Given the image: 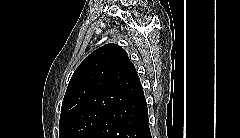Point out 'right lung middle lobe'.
<instances>
[{
	"instance_id": "obj_1",
	"label": "right lung middle lobe",
	"mask_w": 240,
	"mask_h": 138,
	"mask_svg": "<svg viewBox=\"0 0 240 138\" xmlns=\"http://www.w3.org/2000/svg\"><path fill=\"white\" fill-rule=\"evenodd\" d=\"M106 114L103 111L88 110L60 118V138H86Z\"/></svg>"
}]
</instances>
